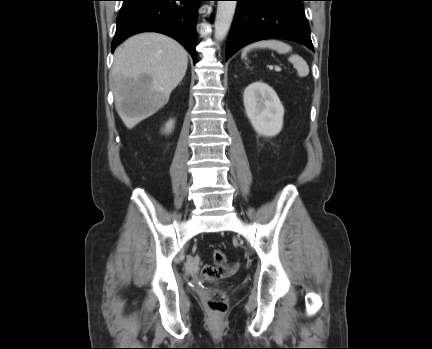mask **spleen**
I'll list each match as a JSON object with an SVG mask.
<instances>
[{"instance_id": "1", "label": "spleen", "mask_w": 432, "mask_h": 349, "mask_svg": "<svg viewBox=\"0 0 432 349\" xmlns=\"http://www.w3.org/2000/svg\"><path fill=\"white\" fill-rule=\"evenodd\" d=\"M254 48H270L276 50L279 54H285L292 51L290 45L275 39L261 40L246 46L242 52L241 57L245 58L248 51ZM288 60L293 64L294 68L300 77H305L309 74V67L306 61L299 55L293 54Z\"/></svg>"}]
</instances>
